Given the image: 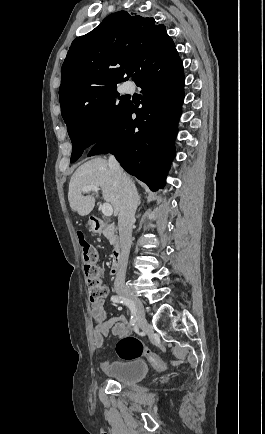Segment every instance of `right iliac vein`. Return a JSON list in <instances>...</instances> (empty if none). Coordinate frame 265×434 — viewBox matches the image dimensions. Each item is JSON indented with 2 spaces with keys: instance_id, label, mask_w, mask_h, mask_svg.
Masks as SVG:
<instances>
[{
  "instance_id": "obj_1",
  "label": "right iliac vein",
  "mask_w": 265,
  "mask_h": 434,
  "mask_svg": "<svg viewBox=\"0 0 265 434\" xmlns=\"http://www.w3.org/2000/svg\"><path fill=\"white\" fill-rule=\"evenodd\" d=\"M115 291L122 297L130 300V302L132 303V305L136 310L138 325L141 326L143 324H146V319L144 317L143 303L141 302V300L136 295L130 293L125 286L118 285L115 288Z\"/></svg>"
}]
</instances>
